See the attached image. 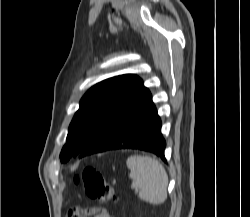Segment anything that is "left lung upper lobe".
Instances as JSON below:
<instances>
[{"mask_svg": "<svg viewBox=\"0 0 250 217\" xmlns=\"http://www.w3.org/2000/svg\"><path fill=\"white\" fill-rule=\"evenodd\" d=\"M141 83L136 75L126 74L106 79L87 91L69 126L61 162L84 151Z\"/></svg>", "mask_w": 250, "mask_h": 217, "instance_id": "1", "label": "left lung upper lobe"}]
</instances>
